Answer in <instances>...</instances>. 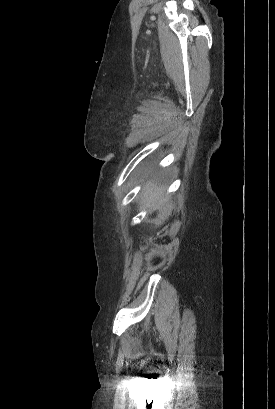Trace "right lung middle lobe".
<instances>
[{"instance_id":"right-lung-middle-lobe-1","label":"right lung middle lobe","mask_w":275,"mask_h":409,"mask_svg":"<svg viewBox=\"0 0 275 409\" xmlns=\"http://www.w3.org/2000/svg\"><path fill=\"white\" fill-rule=\"evenodd\" d=\"M173 168L170 165H162V166H153V165H144L143 171L145 172L146 178H167L170 177L172 174L170 171ZM157 170V171H155Z\"/></svg>"}]
</instances>
